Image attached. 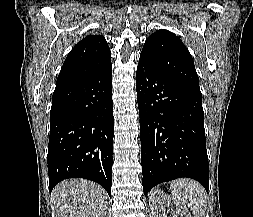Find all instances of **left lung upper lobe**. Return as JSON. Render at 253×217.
<instances>
[{
	"mask_svg": "<svg viewBox=\"0 0 253 217\" xmlns=\"http://www.w3.org/2000/svg\"><path fill=\"white\" fill-rule=\"evenodd\" d=\"M140 58L162 73L199 88V78L189 51L180 38L170 31L161 29L150 35Z\"/></svg>",
	"mask_w": 253,
	"mask_h": 217,
	"instance_id": "left-lung-upper-lobe-1",
	"label": "left lung upper lobe"
}]
</instances>
